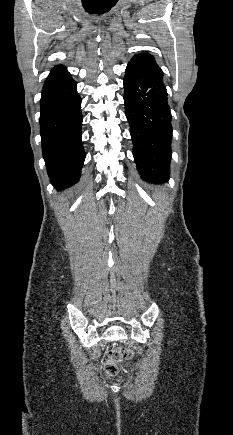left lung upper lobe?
Instances as JSON below:
<instances>
[{"instance_id":"5c2ea615","label":"left lung upper lobe","mask_w":233,"mask_h":435,"mask_svg":"<svg viewBox=\"0 0 233 435\" xmlns=\"http://www.w3.org/2000/svg\"><path fill=\"white\" fill-rule=\"evenodd\" d=\"M129 63H132L137 67L156 72L158 75L163 77V71L156 64L154 57L147 53L133 56L132 60Z\"/></svg>"}]
</instances>
